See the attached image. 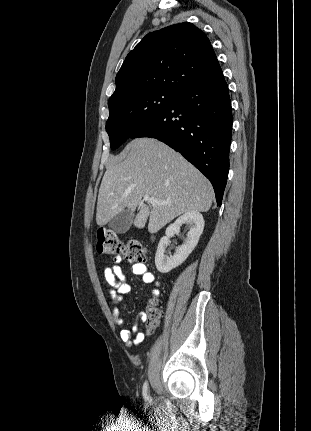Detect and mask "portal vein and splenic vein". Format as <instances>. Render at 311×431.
I'll return each instance as SVG.
<instances>
[{
    "mask_svg": "<svg viewBox=\"0 0 311 431\" xmlns=\"http://www.w3.org/2000/svg\"><path fill=\"white\" fill-rule=\"evenodd\" d=\"M143 200L148 204H152V206H167V204H170V202H158L156 198H151V196H143Z\"/></svg>",
    "mask_w": 311,
    "mask_h": 431,
    "instance_id": "18ae733b",
    "label": "portal vein and splenic vein"
}]
</instances>
